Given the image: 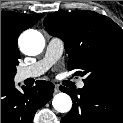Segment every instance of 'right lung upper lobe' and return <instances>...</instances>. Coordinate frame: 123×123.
<instances>
[{
	"label": "right lung upper lobe",
	"instance_id": "cb5924a9",
	"mask_svg": "<svg viewBox=\"0 0 123 123\" xmlns=\"http://www.w3.org/2000/svg\"><path fill=\"white\" fill-rule=\"evenodd\" d=\"M43 14H22L12 11L1 12V44H7L18 50L17 39L24 30L32 27Z\"/></svg>",
	"mask_w": 123,
	"mask_h": 123
}]
</instances>
